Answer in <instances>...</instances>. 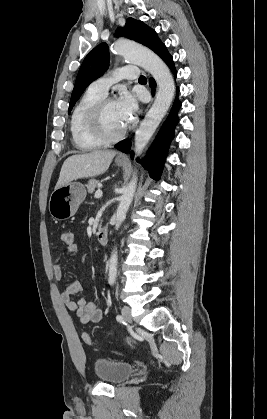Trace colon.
<instances>
[{"label":"colon","instance_id":"colon-1","mask_svg":"<svg viewBox=\"0 0 267 419\" xmlns=\"http://www.w3.org/2000/svg\"><path fill=\"white\" fill-rule=\"evenodd\" d=\"M62 241L65 244L66 247H73L76 243H75V239H74V235L71 231H65L62 234ZM83 340L86 344H91L92 343V339L90 337V335L88 333H84L83 334Z\"/></svg>","mask_w":267,"mask_h":419}]
</instances>
